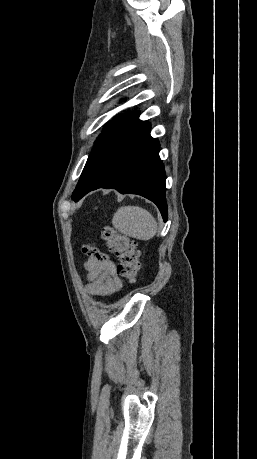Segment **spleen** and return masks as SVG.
Returning a JSON list of instances; mask_svg holds the SVG:
<instances>
[{
	"mask_svg": "<svg viewBox=\"0 0 257 459\" xmlns=\"http://www.w3.org/2000/svg\"><path fill=\"white\" fill-rule=\"evenodd\" d=\"M122 234L138 240H149L157 232V222L150 212L139 206H122L112 219Z\"/></svg>",
	"mask_w": 257,
	"mask_h": 459,
	"instance_id": "spleen-1",
	"label": "spleen"
}]
</instances>
